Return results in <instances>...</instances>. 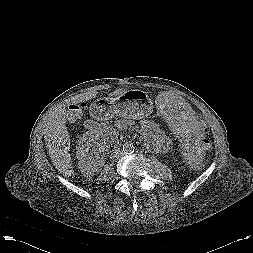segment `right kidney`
<instances>
[{
  "instance_id": "obj_1",
  "label": "right kidney",
  "mask_w": 253,
  "mask_h": 253,
  "mask_svg": "<svg viewBox=\"0 0 253 253\" xmlns=\"http://www.w3.org/2000/svg\"><path fill=\"white\" fill-rule=\"evenodd\" d=\"M109 148V140L98 128L85 132L78 141L76 155L78 167L86 178L97 174L105 161L104 152Z\"/></svg>"
}]
</instances>
